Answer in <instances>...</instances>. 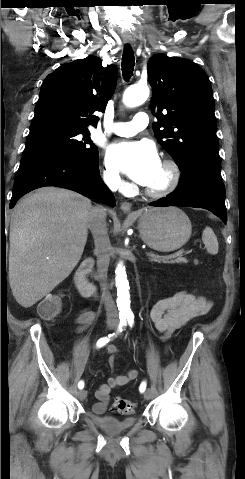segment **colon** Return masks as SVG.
<instances>
[{
    "mask_svg": "<svg viewBox=\"0 0 245 479\" xmlns=\"http://www.w3.org/2000/svg\"><path fill=\"white\" fill-rule=\"evenodd\" d=\"M62 309V296L58 293L47 295L39 304L38 313L47 321L55 319ZM114 410L120 414H131L136 411V403L116 397L113 402Z\"/></svg>",
    "mask_w": 245,
    "mask_h": 479,
    "instance_id": "colon-1",
    "label": "colon"
}]
</instances>
